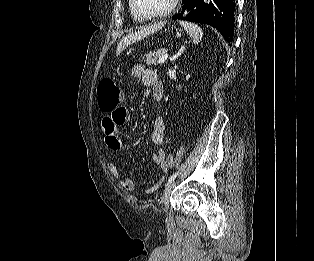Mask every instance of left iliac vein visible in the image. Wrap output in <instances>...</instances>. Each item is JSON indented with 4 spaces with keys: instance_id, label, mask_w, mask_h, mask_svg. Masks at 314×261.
Masks as SVG:
<instances>
[{
    "instance_id": "1",
    "label": "left iliac vein",
    "mask_w": 314,
    "mask_h": 261,
    "mask_svg": "<svg viewBox=\"0 0 314 261\" xmlns=\"http://www.w3.org/2000/svg\"><path fill=\"white\" fill-rule=\"evenodd\" d=\"M175 185H176V182L172 181V182L168 183L166 188L164 189V192L162 195V202L165 206V209L168 208L170 196H171L172 190L174 189Z\"/></svg>"
}]
</instances>
